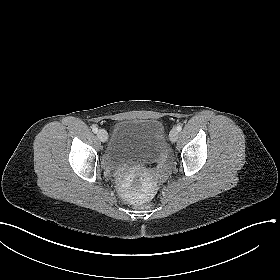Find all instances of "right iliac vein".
<instances>
[{
    "instance_id": "obj_1",
    "label": "right iliac vein",
    "mask_w": 280,
    "mask_h": 280,
    "mask_svg": "<svg viewBox=\"0 0 280 280\" xmlns=\"http://www.w3.org/2000/svg\"><path fill=\"white\" fill-rule=\"evenodd\" d=\"M98 137L102 142H106L108 138L107 132L103 129H100L98 131Z\"/></svg>"
}]
</instances>
